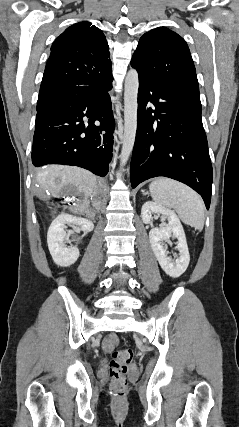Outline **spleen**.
Segmentation results:
<instances>
[{"mask_svg": "<svg viewBox=\"0 0 239 427\" xmlns=\"http://www.w3.org/2000/svg\"><path fill=\"white\" fill-rule=\"evenodd\" d=\"M155 204L174 209L183 223L202 230L204 227V203L188 186L169 178H159L149 185Z\"/></svg>", "mask_w": 239, "mask_h": 427, "instance_id": "spleen-1", "label": "spleen"}]
</instances>
